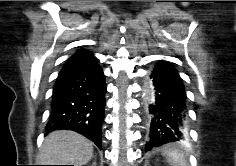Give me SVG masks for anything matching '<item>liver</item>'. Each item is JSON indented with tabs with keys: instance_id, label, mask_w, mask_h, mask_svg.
Here are the masks:
<instances>
[{
	"instance_id": "6515ba94",
	"label": "liver",
	"mask_w": 236,
	"mask_h": 166,
	"mask_svg": "<svg viewBox=\"0 0 236 166\" xmlns=\"http://www.w3.org/2000/svg\"><path fill=\"white\" fill-rule=\"evenodd\" d=\"M93 157V144L82 135L68 130L54 131L44 140L39 155L43 165L82 166Z\"/></svg>"
}]
</instances>
